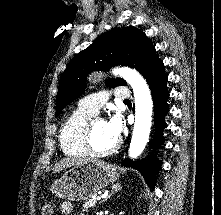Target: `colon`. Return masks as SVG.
Masks as SVG:
<instances>
[{
    "label": "colon",
    "instance_id": "5ec220e1",
    "mask_svg": "<svg viewBox=\"0 0 221 215\" xmlns=\"http://www.w3.org/2000/svg\"><path fill=\"white\" fill-rule=\"evenodd\" d=\"M42 213H43V215H53L54 214V206L51 204H43Z\"/></svg>",
    "mask_w": 221,
    "mask_h": 215
}]
</instances>
